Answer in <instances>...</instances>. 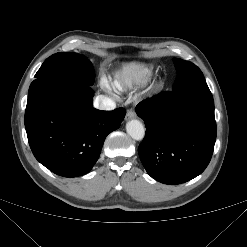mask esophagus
<instances>
[{"mask_svg":"<svg viewBox=\"0 0 247 247\" xmlns=\"http://www.w3.org/2000/svg\"><path fill=\"white\" fill-rule=\"evenodd\" d=\"M135 117H136L135 111L129 110V111L126 113L125 120H130V119L135 118Z\"/></svg>","mask_w":247,"mask_h":247,"instance_id":"obj_1","label":"esophagus"}]
</instances>
